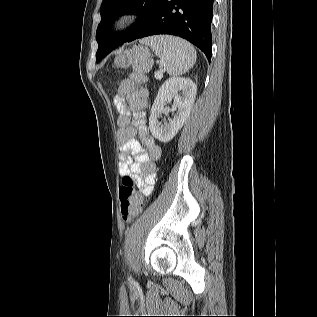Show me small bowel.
Returning <instances> with one entry per match:
<instances>
[{
  "mask_svg": "<svg viewBox=\"0 0 317 317\" xmlns=\"http://www.w3.org/2000/svg\"><path fill=\"white\" fill-rule=\"evenodd\" d=\"M148 92L130 79L123 80L114 97L120 147L119 173L130 175L143 196H149L155 184V164L162 150L150 134L145 120ZM139 137L140 141L136 139Z\"/></svg>",
  "mask_w": 317,
  "mask_h": 317,
  "instance_id": "small-bowel-1",
  "label": "small bowel"
}]
</instances>
